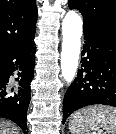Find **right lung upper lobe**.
I'll return each mask as SVG.
<instances>
[{"instance_id": "cb5924a9", "label": "right lung upper lobe", "mask_w": 116, "mask_h": 134, "mask_svg": "<svg viewBox=\"0 0 116 134\" xmlns=\"http://www.w3.org/2000/svg\"><path fill=\"white\" fill-rule=\"evenodd\" d=\"M35 0H0V56L36 33Z\"/></svg>"}]
</instances>
